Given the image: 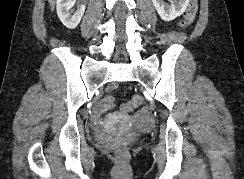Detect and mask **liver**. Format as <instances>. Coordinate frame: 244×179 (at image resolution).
<instances>
[{
  "label": "liver",
  "instance_id": "liver-1",
  "mask_svg": "<svg viewBox=\"0 0 244 179\" xmlns=\"http://www.w3.org/2000/svg\"><path fill=\"white\" fill-rule=\"evenodd\" d=\"M50 6H51V10L53 12L54 8H55V0H48Z\"/></svg>",
  "mask_w": 244,
  "mask_h": 179
}]
</instances>
